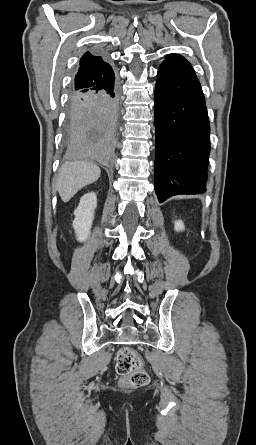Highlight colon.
Segmentation results:
<instances>
[{"label": "colon", "mask_w": 256, "mask_h": 445, "mask_svg": "<svg viewBox=\"0 0 256 445\" xmlns=\"http://www.w3.org/2000/svg\"><path fill=\"white\" fill-rule=\"evenodd\" d=\"M116 372L122 385L141 388L147 385L149 376L139 355L131 348H121L116 357Z\"/></svg>", "instance_id": "1"}]
</instances>
